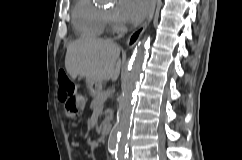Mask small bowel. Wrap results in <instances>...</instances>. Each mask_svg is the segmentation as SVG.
<instances>
[{"instance_id": "obj_1", "label": "small bowel", "mask_w": 242, "mask_h": 160, "mask_svg": "<svg viewBox=\"0 0 242 160\" xmlns=\"http://www.w3.org/2000/svg\"><path fill=\"white\" fill-rule=\"evenodd\" d=\"M78 99L80 100V105H79V108L77 110V113H80L83 110V107H84V99L82 97H78Z\"/></svg>"}]
</instances>
